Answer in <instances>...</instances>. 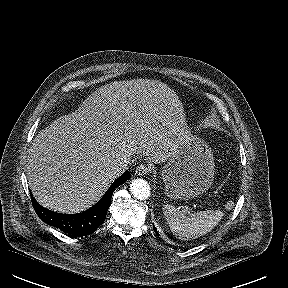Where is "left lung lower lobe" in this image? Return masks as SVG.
I'll return each instance as SVG.
<instances>
[{
    "label": "left lung lower lobe",
    "mask_w": 288,
    "mask_h": 288,
    "mask_svg": "<svg viewBox=\"0 0 288 288\" xmlns=\"http://www.w3.org/2000/svg\"><path fill=\"white\" fill-rule=\"evenodd\" d=\"M154 230H155V232L157 233V231H156V228L154 227ZM158 234V233H157Z\"/></svg>",
    "instance_id": "0a47b994"
}]
</instances>
